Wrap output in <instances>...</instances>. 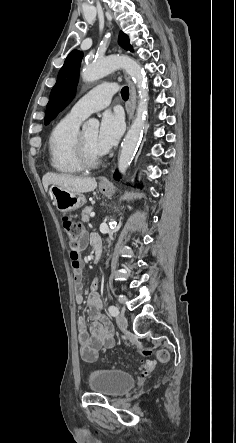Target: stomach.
<instances>
[{
    "mask_svg": "<svg viewBox=\"0 0 236 443\" xmlns=\"http://www.w3.org/2000/svg\"><path fill=\"white\" fill-rule=\"evenodd\" d=\"M103 194H108V188H100ZM49 193L56 208L61 212H71L81 208L85 203V196L81 193H74L60 188L59 186L52 185L49 189Z\"/></svg>",
    "mask_w": 236,
    "mask_h": 443,
    "instance_id": "0dacf381",
    "label": "stomach"
}]
</instances>
